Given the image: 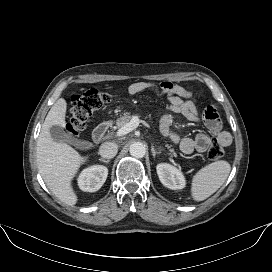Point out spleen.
<instances>
[{
  "label": "spleen",
  "mask_w": 272,
  "mask_h": 272,
  "mask_svg": "<svg viewBox=\"0 0 272 272\" xmlns=\"http://www.w3.org/2000/svg\"><path fill=\"white\" fill-rule=\"evenodd\" d=\"M231 170L227 161L219 160L200 169L192 179L191 195L203 201L215 193L226 181Z\"/></svg>",
  "instance_id": "obj_1"
}]
</instances>
